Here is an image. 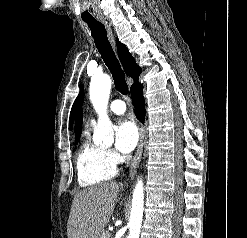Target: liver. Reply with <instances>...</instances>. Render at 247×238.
I'll list each match as a JSON object with an SVG mask.
<instances>
[{
  "label": "liver",
  "mask_w": 247,
  "mask_h": 238,
  "mask_svg": "<svg viewBox=\"0 0 247 238\" xmlns=\"http://www.w3.org/2000/svg\"><path fill=\"white\" fill-rule=\"evenodd\" d=\"M119 188L118 183L108 182L80 191L72 202L68 238H100L113 214Z\"/></svg>",
  "instance_id": "1"
}]
</instances>
